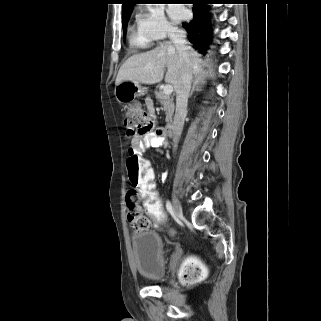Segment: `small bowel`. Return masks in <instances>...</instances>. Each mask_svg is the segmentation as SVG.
<instances>
[{"label":"small bowel","instance_id":"c3829d8e","mask_svg":"<svg viewBox=\"0 0 321 321\" xmlns=\"http://www.w3.org/2000/svg\"><path fill=\"white\" fill-rule=\"evenodd\" d=\"M147 105L151 106L150 100H147ZM165 143H166V138H165L164 129L157 128L155 131L148 132L142 136H137V135L132 136L130 147H129V153L133 152L135 154H139L146 151L149 148L159 149L163 147ZM151 172L153 171L151 170Z\"/></svg>","mask_w":321,"mask_h":321}]
</instances>
